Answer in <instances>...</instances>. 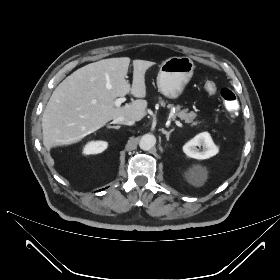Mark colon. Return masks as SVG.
Wrapping results in <instances>:
<instances>
[{
    "mask_svg": "<svg viewBox=\"0 0 280 280\" xmlns=\"http://www.w3.org/2000/svg\"><path fill=\"white\" fill-rule=\"evenodd\" d=\"M204 89L209 94H215L217 87L213 81H205ZM220 97L224 103L225 109L230 113H235L238 110V101L235 93L226 87L219 90Z\"/></svg>",
    "mask_w": 280,
    "mask_h": 280,
    "instance_id": "1",
    "label": "colon"
}]
</instances>
